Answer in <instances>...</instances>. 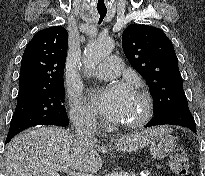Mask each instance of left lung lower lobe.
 I'll return each mask as SVG.
<instances>
[{"instance_id": "1", "label": "left lung lower lobe", "mask_w": 205, "mask_h": 176, "mask_svg": "<svg viewBox=\"0 0 205 176\" xmlns=\"http://www.w3.org/2000/svg\"><path fill=\"white\" fill-rule=\"evenodd\" d=\"M164 124L187 127L196 133L195 121L188 108L187 100L179 102L174 108L163 114L154 116L152 120L146 125V127Z\"/></svg>"}]
</instances>
